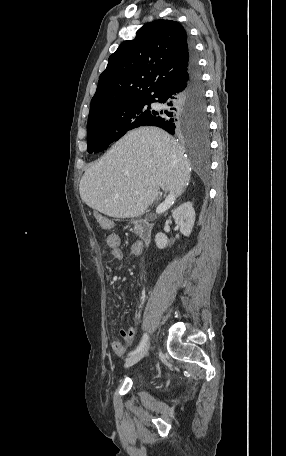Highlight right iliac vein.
Here are the masks:
<instances>
[{"instance_id":"right-iliac-vein-1","label":"right iliac vein","mask_w":286,"mask_h":456,"mask_svg":"<svg viewBox=\"0 0 286 456\" xmlns=\"http://www.w3.org/2000/svg\"><path fill=\"white\" fill-rule=\"evenodd\" d=\"M149 348V344L146 345L140 352L132 355L131 357L127 358L124 364L125 368L131 367L137 362H139L147 353Z\"/></svg>"}]
</instances>
